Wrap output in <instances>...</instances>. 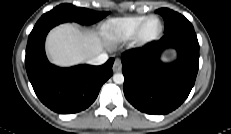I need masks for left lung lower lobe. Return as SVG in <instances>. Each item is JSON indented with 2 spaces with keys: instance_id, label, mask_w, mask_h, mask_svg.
<instances>
[{
  "instance_id": "1",
  "label": "left lung lower lobe",
  "mask_w": 231,
  "mask_h": 134,
  "mask_svg": "<svg viewBox=\"0 0 231 134\" xmlns=\"http://www.w3.org/2000/svg\"><path fill=\"white\" fill-rule=\"evenodd\" d=\"M172 47L178 59L171 65L160 61L164 48ZM124 94L138 110L148 114H167L188 97L199 67V44L193 28L164 35L142 48L122 54Z\"/></svg>"
}]
</instances>
